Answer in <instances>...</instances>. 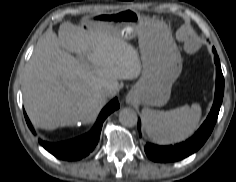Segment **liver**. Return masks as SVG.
I'll list each match as a JSON object with an SVG mask.
<instances>
[{"instance_id":"obj_1","label":"liver","mask_w":236,"mask_h":182,"mask_svg":"<svg viewBox=\"0 0 236 182\" xmlns=\"http://www.w3.org/2000/svg\"><path fill=\"white\" fill-rule=\"evenodd\" d=\"M111 30L108 22L88 29L65 22L58 37L48 31L39 39L25 67L22 87L24 106L35 126L52 130L92 123L107 103L101 91L110 89L116 95L118 80L140 75L137 50Z\"/></svg>"}]
</instances>
